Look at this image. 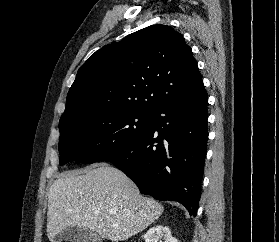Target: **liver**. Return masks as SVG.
Returning <instances> with one entry per match:
<instances>
[{
	"mask_svg": "<svg viewBox=\"0 0 279 242\" xmlns=\"http://www.w3.org/2000/svg\"><path fill=\"white\" fill-rule=\"evenodd\" d=\"M163 210L122 171L96 164L54 181L48 193L47 237L54 242L62 230L78 227L112 242L124 241L155 222Z\"/></svg>",
	"mask_w": 279,
	"mask_h": 242,
	"instance_id": "obj_1",
	"label": "liver"
}]
</instances>
